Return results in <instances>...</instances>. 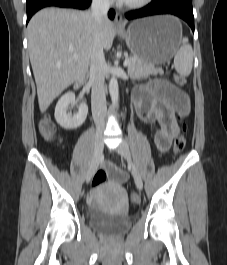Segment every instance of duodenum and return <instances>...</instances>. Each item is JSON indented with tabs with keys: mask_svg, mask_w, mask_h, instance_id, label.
Segmentation results:
<instances>
[{
	"mask_svg": "<svg viewBox=\"0 0 227 265\" xmlns=\"http://www.w3.org/2000/svg\"><path fill=\"white\" fill-rule=\"evenodd\" d=\"M81 85H82V80H78V81H76V83H75V88H76V89H79V88L81 87Z\"/></svg>",
	"mask_w": 227,
	"mask_h": 265,
	"instance_id": "obj_1",
	"label": "duodenum"
}]
</instances>
